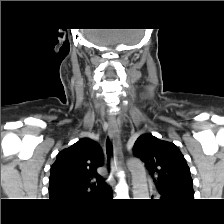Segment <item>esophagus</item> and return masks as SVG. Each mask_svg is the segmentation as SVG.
Returning a JSON list of instances; mask_svg holds the SVG:
<instances>
[{
  "mask_svg": "<svg viewBox=\"0 0 224 224\" xmlns=\"http://www.w3.org/2000/svg\"><path fill=\"white\" fill-rule=\"evenodd\" d=\"M108 134L113 143V159H112V169L116 173L118 168L123 166V153H122V144L120 140L119 130L116 125V121L113 118L109 119ZM123 168H125L123 166Z\"/></svg>",
  "mask_w": 224,
  "mask_h": 224,
  "instance_id": "esophagus-1",
  "label": "esophagus"
}]
</instances>
